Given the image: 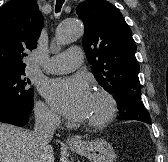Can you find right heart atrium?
<instances>
[{"instance_id":"1","label":"right heart atrium","mask_w":168,"mask_h":162,"mask_svg":"<svg viewBox=\"0 0 168 162\" xmlns=\"http://www.w3.org/2000/svg\"><path fill=\"white\" fill-rule=\"evenodd\" d=\"M34 110L37 120L43 125L55 126L59 121L57 114L43 102L36 103Z\"/></svg>"}]
</instances>
